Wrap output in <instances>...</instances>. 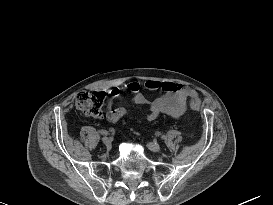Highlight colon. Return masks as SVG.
<instances>
[{"label": "colon", "instance_id": "1", "mask_svg": "<svg viewBox=\"0 0 273 205\" xmlns=\"http://www.w3.org/2000/svg\"><path fill=\"white\" fill-rule=\"evenodd\" d=\"M105 99L106 94L102 91L83 90L75 95V105L85 117L98 118L102 113ZM191 107L194 110H199L201 104L198 100H193Z\"/></svg>", "mask_w": 273, "mask_h": 205}]
</instances>
